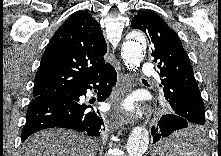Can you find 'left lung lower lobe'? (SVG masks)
<instances>
[{
	"label": "left lung lower lobe",
	"mask_w": 221,
	"mask_h": 156,
	"mask_svg": "<svg viewBox=\"0 0 221 156\" xmlns=\"http://www.w3.org/2000/svg\"><path fill=\"white\" fill-rule=\"evenodd\" d=\"M192 123L183 117L175 114H166L161 117L156 127H152L153 143L160 140L161 137H166L176 130L187 128Z\"/></svg>",
	"instance_id": "0a47b994"
}]
</instances>
